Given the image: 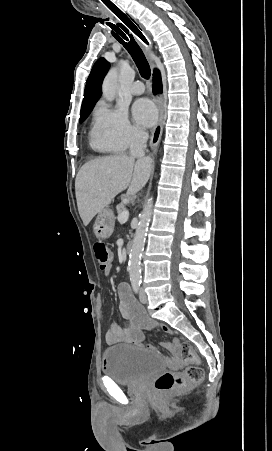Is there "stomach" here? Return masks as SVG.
<instances>
[{
	"label": "stomach",
	"instance_id": "1",
	"mask_svg": "<svg viewBox=\"0 0 272 451\" xmlns=\"http://www.w3.org/2000/svg\"><path fill=\"white\" fill-rule=\"evenodd\" d=\"M114 226L115 218L112 210L103 208V210H100L95 224H93V231L98 239H106L113 233Z\"/></svg>",
	"mask_w": 272,
	"mask_h": 451
}]
</instances>
